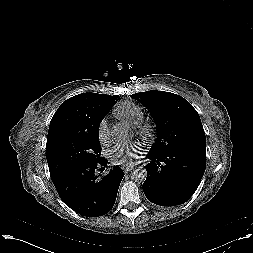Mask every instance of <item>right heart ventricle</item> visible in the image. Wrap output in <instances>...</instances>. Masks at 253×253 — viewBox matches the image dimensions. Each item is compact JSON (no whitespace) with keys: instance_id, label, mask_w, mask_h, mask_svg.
<instances>
[{"instance_id":"e07e8e85","label":"right heart ventricle","mask_w":253,"mask_h":253,"mask_svg":"<svg viewBox=\"0 0 253 253\" xmlns=\"http://www.w3.org/2000/svg\"><path fill=\"white\" fill-rule=\"evenodd\" d=\"M114 115L120 120H123L128 124L135 126L142 121L143 110L134 102L122 101L116 106Z\"/></svg>"}]
</instances>
